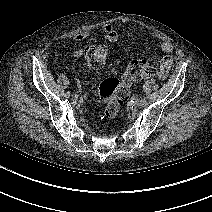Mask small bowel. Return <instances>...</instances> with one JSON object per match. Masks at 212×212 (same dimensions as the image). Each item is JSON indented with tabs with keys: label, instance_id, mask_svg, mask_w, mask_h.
I'll use <instances>...</instances> for the list:
<instances>
[{
	"label": "small bowel",
	"instance_id": "obj_1",
	"mask_svg": "<svg viewBox=\"0 0 212 212\" xmlns=\"http://www.w3.org/2000/svg\"><path fill=\"white\" fill-rule=\"evenodd\" d=\"M101 33L104 34L105 38L109 42H115L118 40V24L117 23H106L100 27ZM92 34V31H86L83 33H78L74 36L75 41H83L87 39ZM156 47L162 50L166 55L161 59L159 63L158 77L160 79H165L172 66V56L173 46L164 40L157 41L155 43ZM82 49H77L72 52L74 57H79L82 54Z\"/></svg>",
	"mask_w": 212,
	"mask_h": 212
}]
</instances>
